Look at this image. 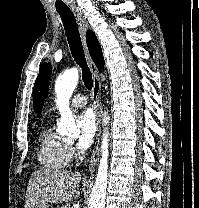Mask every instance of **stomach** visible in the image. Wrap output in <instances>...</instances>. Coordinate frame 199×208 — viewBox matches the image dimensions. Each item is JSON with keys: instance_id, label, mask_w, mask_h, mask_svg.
<instances>
[{"instance_id": "1", "label": "stomach", "mask_w": 199, "mask_h": 208, "mask_svg": "<svg viewBox=\"0 0 199 208\" xmlns=\"http://www.w3.org/2000/svg\"><path fill=\"white\" fill-rule=\"evenodd\" d=\"M34 208H49L47 203H39Z\"/></svg>"}]
</instances>
